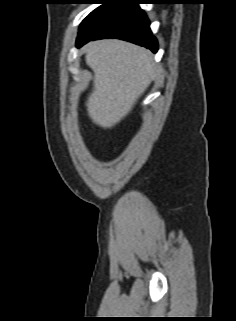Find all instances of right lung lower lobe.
<instances>
[{"mask_svg": "<svg viewBox=\"0 0 236 321\" xmlns=\"http://www.w3.org/2000/svg\"><path fill=\"white\" fill-rule=\"evenodd\" d=\"M140 0H111L105 4L79 31L76 46L91 40L118 38L141 46L154 53L156 38L150 30L146 14L138 6Z\"/></svg>", "mask_w": 236, "mask_h": 321, "instance_id": "right-lung-lower-lobe-1", "label": "right lung lower lobe"}]
</instances>
